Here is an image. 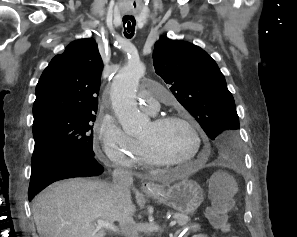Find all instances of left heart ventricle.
<instances>
[{"instance_id":"obj_1","label":"left heart ventricle","mask_w":297,"mask_h":237,"mask_svg":"<svg viewBox=\"0 0 297 237\" xmlns=\"http://www.w3.org/2000/svg\"><path fill=\"white\" fill-rule=\"evenodd\" d=\"M139 140L148 143L169 160H183L196 151V142L191 131L186 125L177 122L155 125L150 121Z\"/></svg>"}]
</instances>
